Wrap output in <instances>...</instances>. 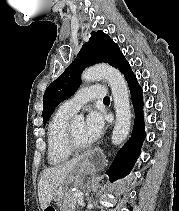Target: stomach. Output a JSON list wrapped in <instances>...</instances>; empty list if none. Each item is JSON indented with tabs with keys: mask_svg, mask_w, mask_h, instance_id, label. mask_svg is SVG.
<instances>
[{
	"mask_svg": "<svg viewBox=\"0 0 179 211\" xmlns=\"http://www.w3.org/2000/svg\"><path fill=\"white\" fill-rule=\"evenodd\" d=\"M90 167L91 165L88 159L83 161V163L71 173L69 178L66 180L63 188L61 189V194L58 195H62L64 192L68 191L71 187L75 188L81 187L86 177V174L90 170Z\"/></svg>",
	"mask_w": 179,
	"mask_h": 211,
	"instance_id": "stomach-1",
	"label": "stomach"
}]
</instances>
